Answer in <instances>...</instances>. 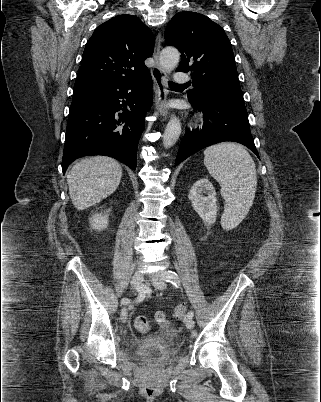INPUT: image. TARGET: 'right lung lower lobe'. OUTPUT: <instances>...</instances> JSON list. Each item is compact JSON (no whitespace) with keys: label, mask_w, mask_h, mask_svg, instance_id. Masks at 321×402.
I'll return each instance as SVG.
<instances>
[{"label":"right lung lower lobe","mask_w":321,"mask_h":402,"mask_svg":"<svg viewBox=\"0 0 321 402\" xmlns=\"http://www.w3.org/2000/svg\"><path fill=\"white\" fill-rule=\"evenodd\" d=\"M152 100L150 74L135 80L103 82L73 90L63 173L74 160L87 155L110 156L135 170L137 146ZM120 110L122 113H117Z\"/></svg>","instance_id":"98d812e1"}]
</instances>
